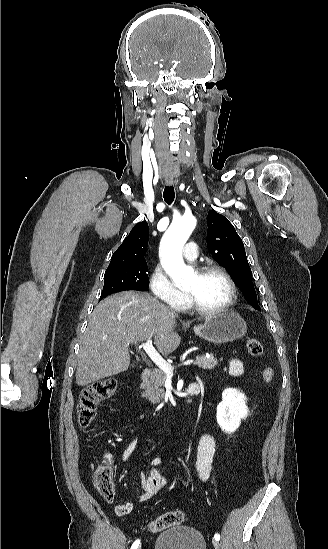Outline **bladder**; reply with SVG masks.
<instances>
[{
	"label": "bladder",
	"instance_id": "1",
	"mask_svg": "<svg viewBox=\"0 0 328 549\" xmlns=\"http://www.w3.org/2000/svg\"><path fill=\"white\" fill-rule=\"evenodd\" d=\"M155 549H206L205 540L195 528L177 526L160 533Z\"/></svg>",
	"mask_w": 328,
	"mask_h": 549
}]
</instances>
